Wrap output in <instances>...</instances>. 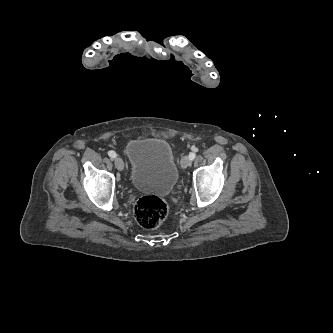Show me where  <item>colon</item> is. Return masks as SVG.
Here are the masks:
<instances>
[{"mask_svg":"<svg viewBox=\"0 0 333 333\" xmlns=\"http://www.w3.org/2000/svg\"><path fill=\"white\" fill-rule=\"evenodd\" d=\"M134 216L140 226L153 229L160 226L168 217V205L155 195L141 197L135 206Z\"/></svg>","mask_w":333,"mask_h":333,"instance_id":"1","label":"colon"}]
</instances>
